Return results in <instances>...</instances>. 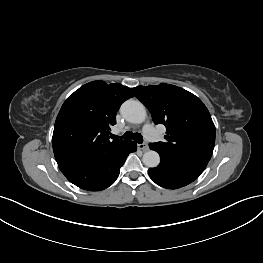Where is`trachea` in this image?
I'll return each mask as SVG.
<instances>
[{"mask_svg":"<svg viewBox=\"0 0 263 263\" xmlns=\"http://www.w3.org/2000/svg\"><path fill=\"white\" fill-rule=\"evenodd\" d=\"M118 137V136H115ZM120 138L130 140L133 139L135 142L141 144L143 143V137L140 133H132L131 131H127L123 136Z\"/></svg>","mask_w":263,"mask_h":263,"instance_id":"trachea-1","label":"trachea"}]
</instances>
